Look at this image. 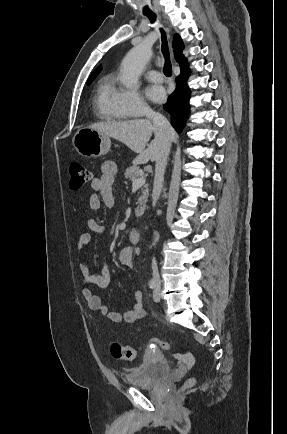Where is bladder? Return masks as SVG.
I'll return each mask as SVG.
<instances>
[{
	"mask_svg": "<svg viewBox=\"0 0 287 434\" xmlns=\"http://www.w3.org/2000/svg\"><path fill=\"white\" fill-rule=\"evenodd\" d=\"M169 373V361L162 353H146L143 361L125 374V381L134 387L149 388Z\"/></svg>",
	"mask_w": 287,
	"mask_h": 434,
	"instance_id": "bladder-1",
	"label": "bladder"
}]
</instances>
